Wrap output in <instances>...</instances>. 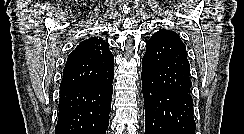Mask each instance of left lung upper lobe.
I'll list each match as a JSON object with an SVG mask.
<instances>
[{"instance_id": "1", "label": "left lung upper lobe", "mask_w": 244, "mask_h": 134, "mask_svg": "<svg viewBox=\"0 0 244 134\" xmlns=\"http://www.w3.org/2000/svg\"><path fill=\"white\" fill-rule=\"evenodd\" d=\"M142 70L161 87L190 90V64L180 36L170 30H159L146 42Z\"/></svg>"}]
</instances>
